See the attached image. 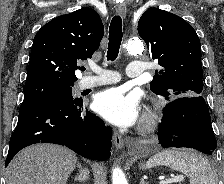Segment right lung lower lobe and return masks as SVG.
<instances>
[{
	"mask_svg": "<svg viewBox=\"0 0 224 184\" xmlns=\"http://www.w3.org/2000/svg\"><path fill=\"white\" fill-rule=\"evenodd\" d=\"M111 139V128L84 108L81 99L38 102L19 111L5 167L19 150L35 143L60 144L85 158L106 160L110 157Z\"/></svg>",
	"mask_w": 224,
	"mask_h": 184,
	"instance_id": "98d812e1",
	"label": "right lung lower lobe"
}]
</instances>
